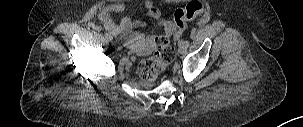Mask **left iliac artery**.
<instances>
[{"instance_id":"left-iliac-artery-1","label":"left iliac artery","mask_w":303,"mask_h":127,"mask_svg":"<svg viewBox=\"0 0 303 127\" xmlns=\"http://www.w3.org/2000/svg\"><path fill=\"white\" fill-rule=\"evenodd\" d=\"M185 43H186L187 47H188L189 44H190L189 40H185Z\"/></svg>"}]
</instances>
